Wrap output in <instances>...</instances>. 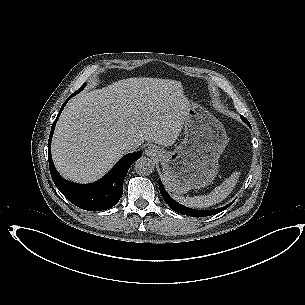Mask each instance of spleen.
I'll use <instances>...</instances> for the list:
<instances>
[{
    "instance_id": "obj_1",
    "label": "spleen",
    "mask_w": 305,
    "mask_h": 305,
    "mask_svg": "<svg viewBox=\"0 0 305 305\" xmlns=\"http://www.w3.org/2000/svg\"><path fill=\"white\" fill-rule=\"evenodd\" d=\"M237 179V173H233L220 186L215 187L208 195L195 197H182L172 194L174 200L190 208L202 209L223 201L231 192Z\"/></svg>"
}]
</instances>
